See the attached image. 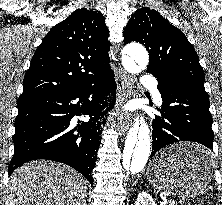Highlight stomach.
<instances>
[{
  "label": "stomach",
  "instance_id": "0dacf381",
  "mask_svg": "<svg viewBox=\"0 0 222 205\" xmlns=\"http://www.w3.org/2000/svg\"><path fill=\"white\" fill-rule=\"evenodd\" d=\"M205 148L194 143L170 146L156 154L147 167L149 183L157 190L183 198L201 194L212 178L211 164L181 162L184 155Z\"/></svg>",
  "mask_w": 222,
  "mask_h": 205
}]
</instances>
